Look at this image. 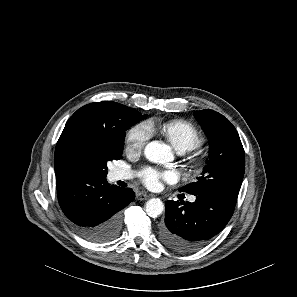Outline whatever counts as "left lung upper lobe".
<instances>
[{"instance_id":"1","label":"left lung upper lobe","mask_w":297,"mask_h":297,"mask_svg":"<svg viewBox=\"0 0 297 297\" xmlns=\"http://www.w3.org/2000/svg\"><path fill=\"white\" fill-rule=\"evenodd\" d=\"M195 117L210 138L211 154L198 180L179 191L194 195L214 189L239 191L245 171V152L236 129L213 110L198 111Z\"/></svg>"}]
</instances>
